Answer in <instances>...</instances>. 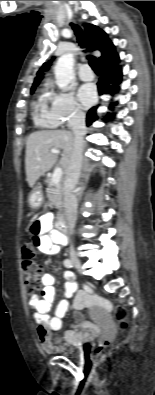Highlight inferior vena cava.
<instances>
[{
  "label": "inferior vena cava",
  "mask_w": 155,
  "mask_h": 395,
  "mask_svg": "<svg viewBox=\"0 0 155 395\" xmlns=\"http://www.w3.org/2000/svg\"><path fill=\"white\" fill-rule=\"evenodd\" d=\"M70 124L74 135V148L70 157V162L65 170L64 208L67 225L70 232H72L77 218V198L75 187L79 181L83 160V137L86 134L85 114L83 112L75 113Z\"/></svg>",
  "instance_id": "602c4592"
}]
</instances>
